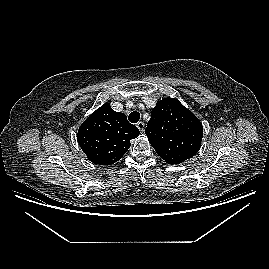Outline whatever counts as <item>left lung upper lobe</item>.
<instances>
[{"mask_svg": "<svg viewBox=\"0 0 269 269\" xmlns=\"http://www.w3.org/2000/svg\"><path fill=\"white\" fill-rule=\"evenodd\" d=\"M145 133L157 154L168 164H179L200 149L203 126L177 99L157 102Z\"/></svg>", "mask_w": 269, "mask_h": 269, "instance_id": "obj_1", "label": "left lung upper lobe"}]
</instances>
